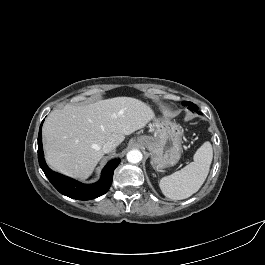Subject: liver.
<instances>
[{
	"instance_id": "liver-1",
	"label": "liver",
	"mask_w": 265,
	"mask_h": 265,
	"mask_svg": "<svg viewBox=\"0 0 265 265\" xmlns=\"http://www.w3.org/2000/svg\"><path fill=\"white\" fill-rule=\"evenodd\" d=\"M154 119L153 110L132 97H115L52 111L43 125L48 165L57 172L87 179L103 158V145H120L126 135Z\"/></svg>"
}]
</instances>
